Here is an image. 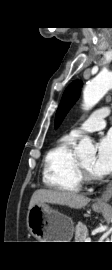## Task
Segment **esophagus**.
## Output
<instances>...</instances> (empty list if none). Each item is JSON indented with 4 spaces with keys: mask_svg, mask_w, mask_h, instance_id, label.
Segmentation results:
<instances>
[{
    "mask_svg": "<svg viewBox=\"0 0 112 270\" xmlns=\"http://www.w3.org/2000/svg\"><path fill=\"white\" fill-rule=\"evenodd\" d=\"M112 197V180L107 185L102 195L95 201L96 206H106L109 199Z\"/></svg>",
    "mask_w": 112,
    "mask_h": 270,
    "instance_id": "obj_1",
    "label": "esophagus"
}]
</instances>
